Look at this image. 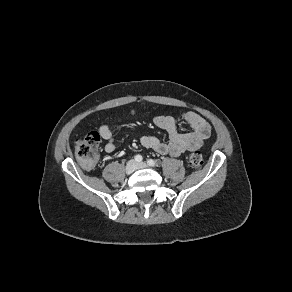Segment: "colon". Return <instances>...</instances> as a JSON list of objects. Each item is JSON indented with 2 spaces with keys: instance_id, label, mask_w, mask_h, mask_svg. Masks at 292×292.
<instances>
[{
  "instance_id": "5ec220e1",
  "label": "colon",
  "mask_w": 292,
  "mask_h": 292,
  "mask_svg": "<svg viewBox=\"0 0 292 292\" xmlns=\"http://www.w3.org/2000/svg\"><path fill=\"white\" fill-rule=\"evenodd\" d=\"M101 136L98 132L92 131L84 137L79 138L75 144V153L78 161L86 169H92L99 158ZM204 163L200 151H194L188 159V166L192 170L199 169Z\"/></svg>"
}]
</instances>
